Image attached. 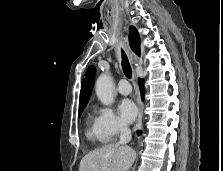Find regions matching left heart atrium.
Masks as SVG:
<instances>
[{
    "instance_id": "obj_1",
    "label": "left heart atrium",
    "mask_w": 223,
    "mask_h": 171,
    "mask_svg": "<svg viewBox=\"0 0 223 171\" xmlns=\"http://www.w3.org/2000/svg\"><path fill=\"white\" fill-rule=\"evenodd\" d=\"M118 110L122 119L126 123L133 122L138 113V108L136 104L130 99L122 100L119 104Z\"/></svg>"
}]
</instances>
